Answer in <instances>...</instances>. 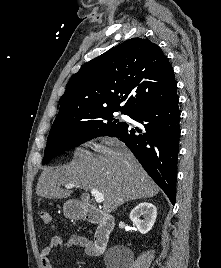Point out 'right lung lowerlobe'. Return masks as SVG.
<instances>
[{
	"label": "right lung lower lobe",
	"instance_id": "98d812e1",
	"mask_svg": "<svg viewBox=\"0 0 221 268\" xmlns=\"http://www.w3.org/2000/svg\"><path fill=\"white\" fill-rule=\"evenodd\" d=\"M179 98L175 97L137 110L130 117L142 124L127 123L109 132L132 151L146 172L166 193L176 200L177 157L181 132Z\"/></svg>",
	"mask_w": 221,
	"mask_h": 268
}]
</instances>
